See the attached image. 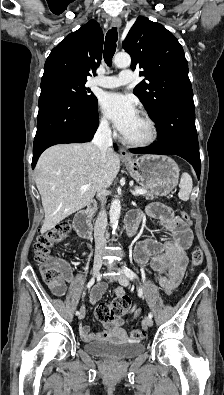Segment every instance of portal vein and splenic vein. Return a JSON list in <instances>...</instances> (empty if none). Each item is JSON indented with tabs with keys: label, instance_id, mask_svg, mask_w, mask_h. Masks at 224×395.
Segmentation results:
<instances>
[{
	"label": "portal vein and splenic vein",
	"instance_id": "obj_1",
	"mask_svg": "<svg viewBox=\"0 0 224 395\" xmlns=\"http://www.w3.org/2000/svg\"><path fill=\"white\" fill-rule=\"evenodd\" d=\"M89 188H90L89 185H85V186H82L80 189L83 190V191H86ZM146 193H147V191L143 190V189H135V191H134V194H137V195H144Z\"/></svg>",
	"mask_w": 224,
	"mask_h": 395
}]
</instances>
